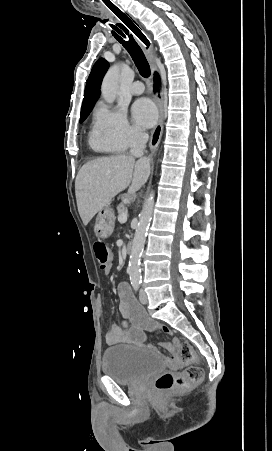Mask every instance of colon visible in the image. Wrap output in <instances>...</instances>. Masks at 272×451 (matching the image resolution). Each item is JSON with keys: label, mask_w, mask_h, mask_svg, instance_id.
I'll list each match as a JSON object with an SVG mask.
<instances>
[{"label": "colon", "mask_w": 272, "mask_h": 451, "mask_svg": "<svg viewBox=\"0 0 272 451\" xmlns=\"http://www.w3.org/2000/svg\"><path fill=\"white\" fill-rule=\"evenodd\" d=\"M94 253L101 269L107 267L110 261L109 247L103 241L94 244ZM190 342H177L173 352L176 363L185 365L182 372L165 371L155 381V387L160 392H168L174 388L190 387L198 383L203 377L202 365L196 364L195 350H191Z\"/></svg>", "instance_id": "1"}]
</instances>
